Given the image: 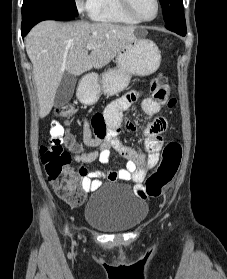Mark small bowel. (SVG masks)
Returning <instances> with one entry per match:
<instances>
[{"instance_id":"obj_1","label":"small bowel","mask_w":227,"mask_h":279,"mask_svg":"<svg viewBox=\"0 0 227 279\" xmlns=\"http://www.w3.org/2000/svg\"><path fill=\"white\" fill-rule=\"evenodd\" d=\"M139 96V92L130 91L107 106L104 111L105 131L103 133H97L95 130L92 131V127H94L93 122L87 117L82 118L84 144L87 147L95 149L73 153L72 157L74 161L81 164L92 163L94 161L108 164L111 160L110 149L118 151L127 160L125 168L109 171H87L84 167H80L78 173L82 176L81 185L84 192L88 193L96 190L101 185L102 180L109 182L132 181L135 183L134 190H142L141 183L147 171L159 162V150L163 143L162 134L168 128V120L166 118L157 117L145 128L146 149L148 151L146 161H144L143 157L136 150L125 146L116 137L121 125H124L129 130L136 129V126L132 122L123 117V112ZM160 108V104L154 99H146L142 103L143 112L149 116L157 115Z\"/></svg>"}]
</instances>
